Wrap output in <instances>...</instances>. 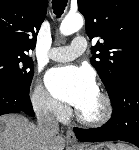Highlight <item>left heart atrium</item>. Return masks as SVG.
Wrapping results in <instances>:
<instances>
[{"instance_id": "obj_1", "label": "left heart atrium", "mask_w": 139, "mask_h": 150, "mask_svg": "<svg viewBox=\"0 0 139 150\" xmlns=\"http://www.w3.org/2000/svg\"><path fill=\"white\" fill-rule=\"evenodd\" d=\"M51 94L80 109L98 95L93 74L81 67L63 66L51 69L46 76Z\"/></svg>"}]
</instances>
